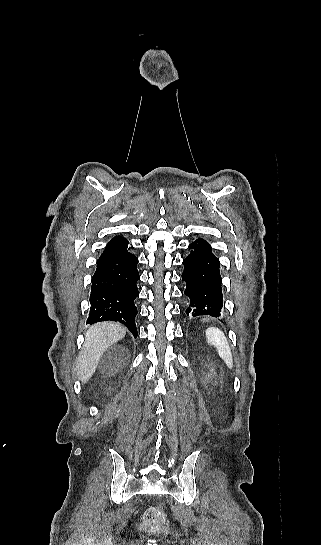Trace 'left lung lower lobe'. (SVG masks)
<instances>
[{"label": "left lung lower lobe", "mask_w": 321, "mask_h": 545, "mask_svg": "<svg viewBox=\"0 0 321 545\" xmlns=\"http://www.w3.org/2000/svg\"><path fill=\"white\" fill-rule=\"evenodd\" d=\"M189 249L192 250L183 260L182 273L186 282L184 294L190 299L186 314L219 317L223 306L219 260L212 254L210 244L201 238L192 242Z\"/></svg>", "instance_id": "left-lung-lower-lobe-1"}]
</instances>
